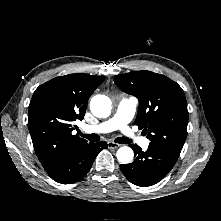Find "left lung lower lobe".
<instances>
[{
	"mask_svg": "<svg viewBox=\"0 0 221 221\" xmlns=\"http://www.w3.org/2000/svg\"><path fill=\"white\" fill-rule=\"evenodd\" d=\"M135 159L132 163L121 164L120 169L133 184L147 187L162 180L175 165L178 157L158 148L149 147L143 152L138 145H130Z\"/></svg>",
	"mask_w": 221,
	"mask_h": 221,
	"instance_id": "obj_1",
	"label": "left lung lower lobe"
}]
</instances>
